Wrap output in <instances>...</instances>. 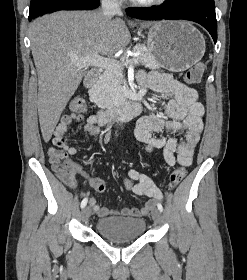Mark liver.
Masks as SVG:
<instances>
[{
  "label": "liver",
  "mask_w": 247,
  "mask_h": 280,
  "mask_svg": "<svg viewBox=\"0 0 247 280\" xmlns=\"http://www.w3.org/2000/svg\"><path fill=\"white\" fill-rule=\"evenodd\" d=\"M151 24L143 22L141 27ZM30 39L38 74L40 128L48 142L86 73L74 61L90 55L110 57L125 48L131 36L120 17L108 19L102 11H59L33 21Z\"/></svg>",
  "instance_id": "obj_1"
}]
</instances>
